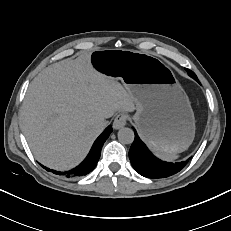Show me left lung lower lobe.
Masks as SVG:
<instances>
[{"label": "left lung lower lobe", "mask_w": 231, "mask_h": 231, "mask_svg": "<svg viewBox=\"0 0 231 231\" xmlns=\"http://www.w3.org/2000/svg\"><path fill=\"white\" fill-rule=\"evenodd\" d=\"M129 158L134 169L147 178H165L178 173L187 162L176 163L164 162L156 158L140 140L136 131L135 139L129 150Z\"/></svg>", "instance_id": "obj_1"}]
</instances>
